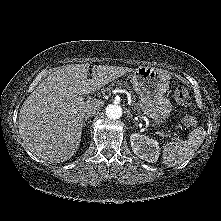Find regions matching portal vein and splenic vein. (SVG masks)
Returning <instances> with one entry per match:
<instances>
[{
    "label": "portal vein and splenic vein",
    "mask_w": 221,
    "mask_h": 221,
    "mask_svg": "<svg viewBox=\"0 0 221 221\" xmlns=\"http://www.w3.org/2000/svg\"><path fill=\"white\" fill-rule=\"evenodd\" d=\"M122 92L125 93V91H123V90H122ZM157 134H159L160 136H169V137L174 138V140H178V138H176L175 136L173 137V135H171V134H169V133H168V134H167V133L164 134L163 132L158 131Z\"/></svg>",
    "instance_id": "obj_1"
}]
</instances>
